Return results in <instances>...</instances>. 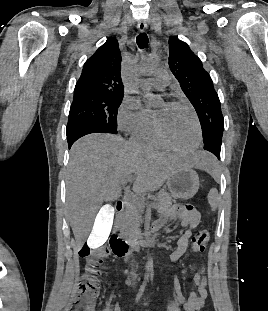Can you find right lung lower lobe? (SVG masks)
<instances>
[{
    "mask_svg": "<svg viewBox=\"0 0 268 311\" xmlns=\"http://www.w3.org/2000/svg\"><path fill=\"white\" fill-rule=\"evenodd\" d=\"M97 132H101V131L97 127L88 126V125H81L75 128L74 130L67 132V141H68L69 148L80 137L90 134V133H97ZM101 133H104V132H101Z\"/></svg>",
    "mask_w": 268,
    "mask_h": 311,
    "instance_id": "1",
    "label": "right lung lower lobe"
}]
</instances>
